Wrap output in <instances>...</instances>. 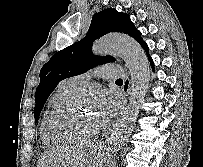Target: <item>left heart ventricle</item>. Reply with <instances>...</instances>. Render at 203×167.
I'll use <instances>...</instances> for the list:
<instances>
[{"instance_id": "obj_1", "label": "left heart ventricle", "mask_w": 203, "mask_h": 167, "mask_svg": "<svg viewBox=\"0 0 203 167\" xmlns=\"http://www.w3.org/2000/svg\"><path fill=\"white\" fill-rule=\"evenodd\" d=\"M68 128L77 135H90L101 129L96 112L85 98H80L68 119Z\"/></svg>"}]
</instances>
